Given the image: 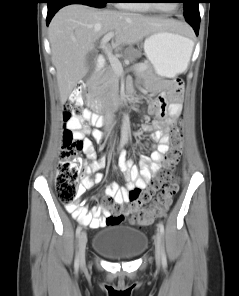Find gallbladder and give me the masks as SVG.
Masks as SVG:
<instances>
[{
  "label": "gallbladder",
  "instance_id": "bac80fb5",
  "mask_svg": "<svg viewBox=\"0 0 239 296\" xmlns=\"http://www.w3.org/2000/svg\"><path fill=\"white\" fill-rule=\"evenodd\" d=\"M97 56L95 53H89L86 58V67H87V75L86 78H89L94 72L96 66Z\"/></svg>",
  "mask_w": 239,
  "mask_h": 296
}]
</instances>
